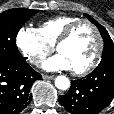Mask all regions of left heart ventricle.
<instances>
[{
    "mask_svg": "<svg viewBox=\"0 0 114 114\" xmlns=\"http://www.w3.org/2000/svg\"><path fill=\"white\" fill-rule=\"evenodd\" d=\"M97 38L88 25L79 26L72 37L60 45L58 52L70 63L72 69L85 67L94 57Z\"/></svg>",
    "mask_w": 114,
    "mask_h": 114,
    "instance_id": "obj_1",
    "label": "left heart ventricle"
}]
</instances>
